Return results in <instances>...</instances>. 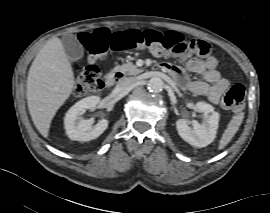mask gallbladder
<instances>
[{
    "label": "gallbladder",
    "instance_id": "bac80fb5",
    "mask_svg": "<svg viewBox=\"0 0 270 213\" xmlns=\"http://www.w3.org/2000/svg\"><path fill=\"white\" fill-rule=\"evenodd\" d=\"M62 44L70 60H78L83 56V46L75 35L67 34L62 37Z\"/></svg>",
    "mask_w": 270,
    "mask_h": 213
}]
</instances>
